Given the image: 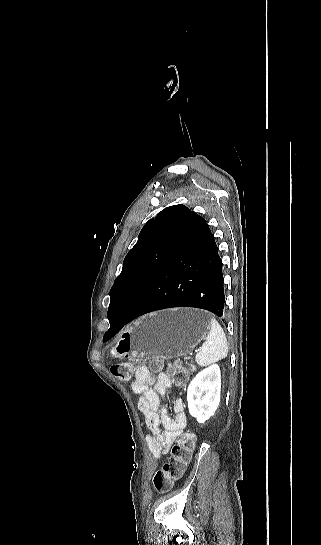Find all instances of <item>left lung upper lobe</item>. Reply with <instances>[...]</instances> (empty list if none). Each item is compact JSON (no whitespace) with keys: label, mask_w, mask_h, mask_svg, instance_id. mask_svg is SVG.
<instances>
[{"label":"left lung upper lobe","mask_w":321,"mask_h":545,"mask_svg":"<svg viewBox=\"0 0 321 545\" xmlns=\"http://www.w3.org/2000/svg\"><path fill=\"white\" fill-rule=\"evenodd\" d=\"M192 213L184 205H173L143 226L110 290L108 318L117 311L127 314L135 308L168 259Z\"/></svg>","instance_id":"left-lung-upper-lobe-1"}]
</instances>
